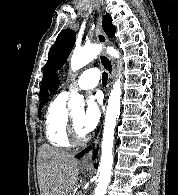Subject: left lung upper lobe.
<instances>
[{
  "mask_svg": "<svg viewBox=\"0 0 178 195\" xmlns=\"http://www.w3.org/2000/svg\"><path fill=\"white\" fill-rule=\"evenodd\" d=\"M112 18L109 14L103 16V29L106 34L112 38L116 28L112 25ZM76 40V33L71 29L62 31L48 54V61L44 67L43 79L40 87V98L42 99L47 92L51 75L54 71L60 69L70 54Z\"/></svg>",
  "mask_w": 178,
  "mask_h": 195,
  "instance_id": "left-lung-upper-lobe-1",
  "label": "left lung upper lobe"
}]
</instances>
